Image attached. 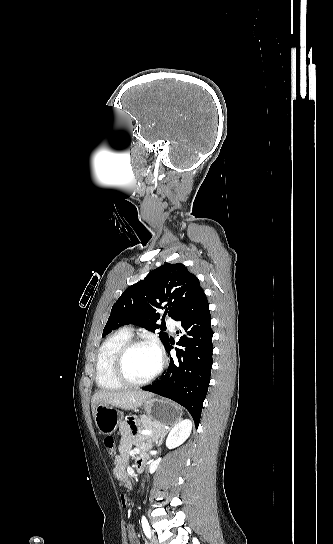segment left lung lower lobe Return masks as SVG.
<instances>
[{
    "mask_svg": "<svg viewBox=\"0 0 333 544\" xmlns=\"http://www.w3.org/2000/svg\"><path fill=\"white\" fill-rule=\"evenodd\" d=\"M175 321L180 322L182 334L176 348V357L164 377L157 383L143 387L145 391L174 400L184 406L199 425L203 401L206 397L212 368L211 316L205 293L197 297ZM171 339L165 345L173 349Z\"/></svg>",
    "mask_w": 333,
    "mask_h": 544,
    "instance_id": "1",
    "label": "left lung lower lobe"
}]
</instances>
